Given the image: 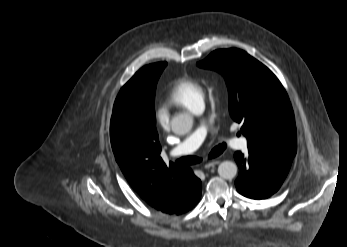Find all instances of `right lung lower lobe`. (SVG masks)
Instances as JSON below:
<instances>
[{"label":"right lung lower lobe","instance_id":"98d812e1","mask_svg":"<svg viewBox=\"0 0 347 247\" xmlns=\"http://www.w3.org/2000/svg\"><path fill=\"white\" fill-rule=\"evenodd\" d=\"M190 172L193 174L192 170L189 168ZM201 196V185L198 186L196 192L192 194L179 208L176 209L172 214H182L191 210L199 201Z\"/></svg>","mask_w":347,"mask_h":247}]
</instances>
